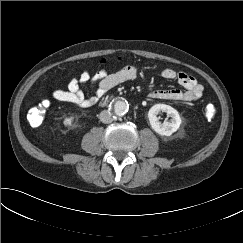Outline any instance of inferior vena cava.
Masks as SVG:
<instances>
[{
	"instance_id": "602c4592",
	"label": "inferior vena cava",
	"mask_w": 243,
	"mask_h": 243,
	"mask_svg": "<svg viewBox=\"0 0 243 243\" xmlns=\"http://www.w3.org/2000/svg\"><path fill=\"white\" fill-rule=\"evenodd\" d=\"M99 119L102 123L108 124L113 121V116L111 112L103 110L99 115Z\"/></svg>"
}]
</instances>
